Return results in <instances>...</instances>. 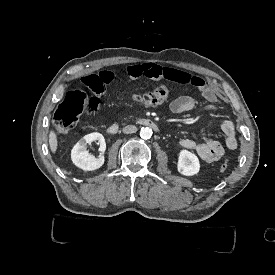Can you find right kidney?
Returning a JSON list of instances; mask_svg holds the SVG:
<instances>
[{
  "label": "right kidney",
  "instance_id": "right-kidney-1",
  "mask_svg": "<svg viewBox=\"0 0 275 275\" xmlns=\"http://www.w3.org/2000/svg\"><path fill=\"white\" fill-rule=\"evenodd\" d=\"M96 140L100 145L99 151L103 154L106 150V142L103 135L98 132L85 135L74 145L71 151V159L77 167L85 171H92L104 164V156L102 154L96 158L86 150L87 144Z\"/></svg>",
  "mask_w": 275,
  "mask_h": 275
}]
</instances>
